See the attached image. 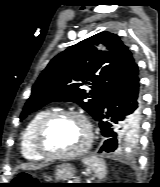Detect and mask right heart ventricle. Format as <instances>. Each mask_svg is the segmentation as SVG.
Masks as SVG:
<instances>
[{"label":"right heart ventricle","instance_id":"1","mask_svg":"<svg viewBox=\"0 0 160 187\" xmlns=\"http://www.w3.org/2000/svg\"><path fill=\"white\" fill-rule=\"evenodd\" d=\"M51 112V108H45L36 112L24 128L21 136V152L26 159L39 161L45 158L36 147L35 137L40 122Z\"/></svg>","mask_w":160,"mask_h":187}]
</instances>
